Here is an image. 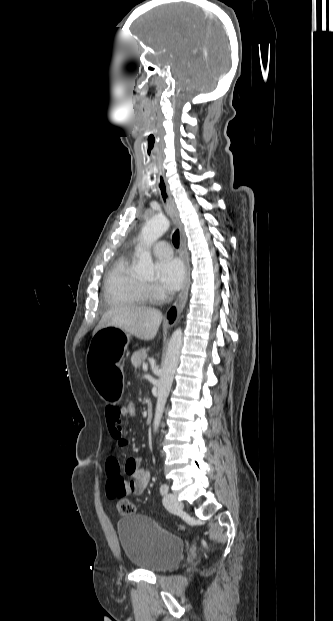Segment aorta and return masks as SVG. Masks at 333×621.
Wrapping results in <instances>:
<instances>
[{
  "instance_id": "obj_1",
  "label": "aorta",
  "mask_w": 333,
  "mask_h": 621,
  "mask_svg": "<svg viewBox=\"0 0 333 621\" xmlns=\"http://www.w3.org/2000/svg\"><path fill=\"white\" fill-rule=\"evenodd\" d=\"M169 228V220L164 215H156L149 219L141 230V242L144 249L140 251L139 261L136 267V275L143 278H153L154 264L151 253L148 250L151 245L157 241ZM183 343L182 329H176L169 341L166 357L161 370L158 381V396L155 408V416L153 420L154 431L156 432L160 426L164 408L171 386L174 374L179 363L180 350Z\"/></svg>"
}]
</instances>
